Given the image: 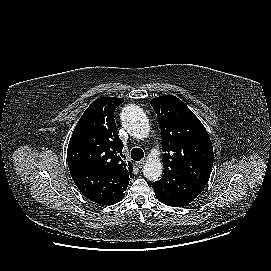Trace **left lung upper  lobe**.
<instances>
[{
    "label": "left lung upper lobe",
    "instance_id": "left-lung-upper-lobe-1",
    "mask_svg": "<svg viewBox=\"0 0 271 271\" xmlns=\"http://www.w3.org/2000/svg\"><path fill=\"white\" fill-rule=\"evenodd\" d=\"M162 135L164 173L179 172L205 187L214 160L209 135L194 113L179 98H153Z\"/></svg>",
    "mask_w": 271,
    "mask_h": 271
}]
</instances>
